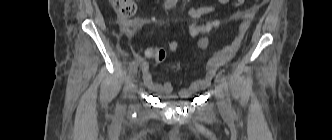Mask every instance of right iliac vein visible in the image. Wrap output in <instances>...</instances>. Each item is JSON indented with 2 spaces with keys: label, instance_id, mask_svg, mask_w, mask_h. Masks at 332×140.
Here are the masks:
<instances>
[{
  "label": "right iliac vein",
  "instance_id": "1",
  "mask_svg": "<svg viewBox=\"0 0 332 140\" xmlns=\"http://www.w3.org/2000/svg\"><path fill=\"white\" fill-rule=\"evenodd\" d=\"M136 73H137V67H134L131 70L128 81H127V87H126L127 92H130L133 88V82L132 81H133V78L135 77Z\"/></svg>",
  "mask_w": 332,
  "mask_h": 140
}]
</instances>
